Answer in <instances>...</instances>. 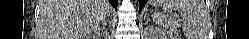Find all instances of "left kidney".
I'll use <instances>...</instances> for the list:
<instances>
[{"instance_id": "left-kidney-1", "label": "left kidney", "mask_w": 249, "mask_h": 39, "mask_svg": "<svg viewBox=\"0 0 249 39\" xmlns=\"http://www.w3.org/2000/svg\"><path fill=\"white\" fill-rule=\"evenodd\" d=\"M155 39H175L172 34H168L162 30H156Z\"/></svg>"}]
</instances>
